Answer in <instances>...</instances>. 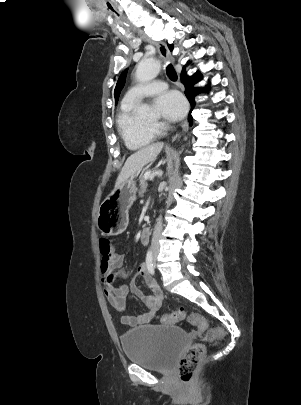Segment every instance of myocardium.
<instances>
[{
	"label": "myocardium",
	"instance_id": "f54148a6",
	"mask_svg": "<svg viewBox=\"0 0 301 405\" xmlns=\"http://www.w3.org/2000/svg\"><path fill=\"white\" fill-rule=\"evenodd\" d=\"M147 127L152 128V124H145Z\"/></svg>",
	"mask_w": 301,
	"mask_h": 405
}]
</instances>
